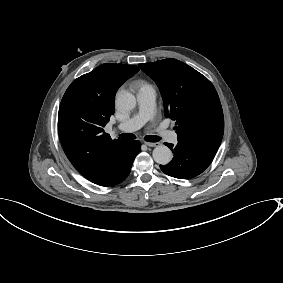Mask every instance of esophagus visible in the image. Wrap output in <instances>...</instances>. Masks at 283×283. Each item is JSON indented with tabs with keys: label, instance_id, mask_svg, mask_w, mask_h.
I'll use <instances>...</instances> for the list:
<instances>
[{
	"label": "esophagus",
	"instance_id": "esophagus-1",
	"mask_svg": "<svg viewBox=\"0 0 283 283\" xmlns=\"http://www.w3.org/2000/svg\"><path fill=\"white\" fill-rule=\"evenodd\" d=\"M145 144L149 147H157L160 145L159 142H145Z\"/></svg>",
	"mask_w": 283,
	"mask_h": 283
}]
</instances>
